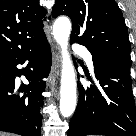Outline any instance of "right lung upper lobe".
I'll use <instances>...</instances> for the list:
<instances>
[{
	"instance_id": "cb5924a9",
	"label": "right lung upper lobe",
	"mask_w": 136,
	"mask_h": 136,
	"mask_svg": "<svg viewBox=\"0 0 136 136\" xmlns=\"http://www.w3.org/2000/svg\"><path fill=\"white\" fill-rule=\"evenodd\" d=\"M44 16L39 0H0V60L17 55L45 37Z\"/></svg>"
}]
</instances>
